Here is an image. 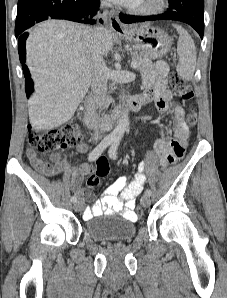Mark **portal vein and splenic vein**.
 <instances>
[{
    "label": "portal vein and splenic vein",
    "instance_id": "18ae733b",
    "mask_svg": "<svg viewBox=\"0 0 227 298\" xmlns=\"http://www.w3.org/2000/svg\"><path fill=\"white\" fill-rule=\"evenodd\" d=\"M137 61H135L134 59L132 60V63H131V67L133 68V69H135L136 67H137Z\"/></svg>",
    "mask_w": 227,
    "mask_h": 298
}]
</instances>
